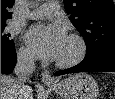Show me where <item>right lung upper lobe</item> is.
I'll return each instance as SVG.
<instances>
[{
    "mask_svg": "<svg viewBox=\"0 0 115 99\" xmlns=\"http://www.w3.org/2000/svg\"><path fill=\"white\" fill-rule=\"evenodd\" d=\"M15 0H1V23H5L7 19L12 18V13L8 11L12 8Z\"/></svg>",
    "mask_w": 115,
    "mask_h": 99,
    "instance_id": "right-lung-upper-lobe-1",
    "label": "right lung upper lobe"
}]
</instances>
